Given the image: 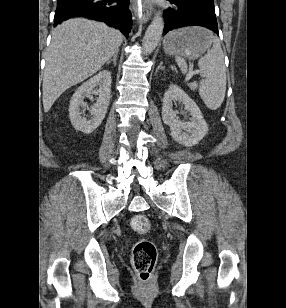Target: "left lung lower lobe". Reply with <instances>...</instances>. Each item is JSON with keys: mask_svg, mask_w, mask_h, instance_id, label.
Here are the masks:
<instances>
[{"mask_svg": "<svg viewBox=\"0 0 286 308\" xmlns=\"http://www.w3.org/2000/svg\"><path fill=\"white\" fill-rule=\"evenodd\" d=\"M169 1L174 6L164 12L163 34L185 26H203L219 34L213 0Z\"/></svg>", "mask_w": 286, "mask_h": 308, "instance_id": "obj_1", "label": "left lung lower lobe"}]
</instances>
